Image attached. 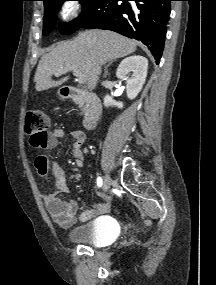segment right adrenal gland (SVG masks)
Returning <instances> with one entry per match:
<instances>
[{"label": "right adrenal gland", "mask_w": 216, "mask_h": 285, "mask_svg": "<svg viewBox=\"0 0 216 285\" xmlns=\"http://www.w3.org/2000/svg\"><path fill=\"white\" fill-rule=\"evenodd\" d=\"M114 61H116V60H112V61L109 62L108 65L105 67V72H104V77H105V78H106V76H107V74H108V67H109L110 65H112V63H113Z\"/></svg>", "instance_id": "2a0ac1e0"}]
</instances>
